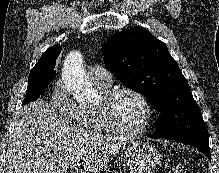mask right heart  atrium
I'll use <instances>...</instances> for the list:
<instances>
[{"mask_svg":"<svg viewBox=\"0 0 219 173\" xmlns=\"http://www.w3.org/2000/svg\"><path fill=\"white\" fill-rule=\"evenodd\" d=\"M50 101L53 108L62 116H65L74 122H79L80 108L69 95L62 81L55 83Z\"/></svg>","mask_w":219,"mask_h":173,"instance_id":"obj_1","label":"right heart atrium"}]
</instances>
